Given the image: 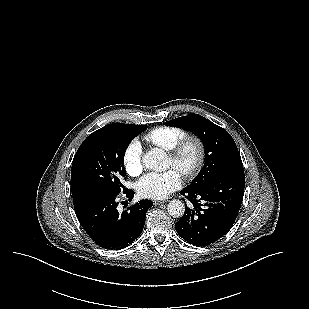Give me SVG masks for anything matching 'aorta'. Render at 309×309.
Wrapping results in <instances>:
<instances>
[{
    "mask_svg": "<svg viewBox=\"0 0 309 309\" xmlns=\"http://www.w3.org/2000/svg\"><path fill=\"white\" fill-rule=\"evenodd\" d=\"M165 158L166 155L164 151L155 148L146 152L142 158V161L146 168L151 170H160L164 165ZM167 210L172 217L178 218L184 215L185 205L180 200H171L167 205Z\"/></svg>",
    "mask_w": 309,
    "mask_h": 309,
    "instance_id": "aorta-1",
    "label": "aorta"
}]
</instances>
